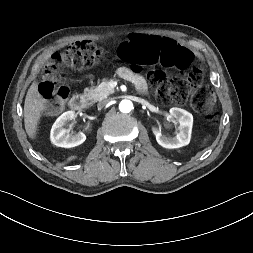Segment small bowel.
Returning a JSON list of instances; mask_svg holds the SVG:
<instances>
[{"mask_svg": "<svg viewBox=\"0 0 253 253\" xmlns=\"http://www.w3.org/2000/svg\"><path fill=\"white\" fill-rule=\"evenodd\" d=\"M118 74L124 79L134 81L139 91L144 92L146 90L144 80L139 77L134 70L128 67H120L118 69Z\"/></svg>", "mask_w": 253, "mask_h": 253, "instance_id": "c3829d8e", "label": "small bowel"}]
</instances>
